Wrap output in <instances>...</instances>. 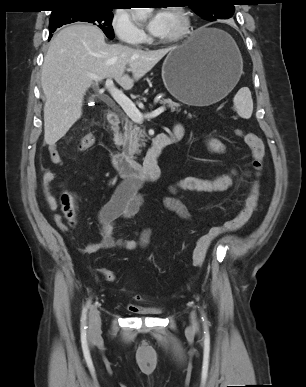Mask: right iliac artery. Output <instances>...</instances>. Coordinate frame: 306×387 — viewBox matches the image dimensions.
Wrapping results in <instances>:
<instances>
[{
    "label": "right iliac artery",
    "instance_id": "right-iliac-artery-1",
    "mask_svg": "<svg viewBox=\"0 0 306 387\" xmlns=\"http://www.w3.org/2000/svg\"><path fill=\"white\" fill-rule=\"evenodd\" d=\"M86 318H87V307H85L82 311V317H81V321H82V327L85 329V324H86Z\"/></svg>",
    "mask_w": 306,
    "mask_h": 387
}]
</instances>
